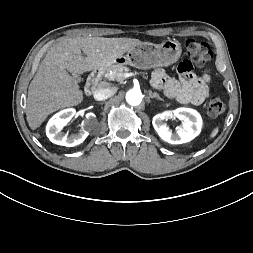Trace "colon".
I'll use <instances>...</instances> for the list:
<instances>
[{
	"mask_svg": "<svg viewBox=\"0 0 253 253\" xmlns=\"http://www.w3.org/2000/svg\"><path fill=\"white\" fill-rule=\"evenodd\" d=\"M185 49L188 59L200 68L207 67L213 61V52L204 41L190 39L186 42ZM224 111V102L218 97H212L208 103V113L211 116L217 117L222 115Z\"/></svg>",
	"mask_w": 253,
	"mask_h": 253,
	"instance_id": "obj_1",
	"label": "colon"
}]
</instances>
